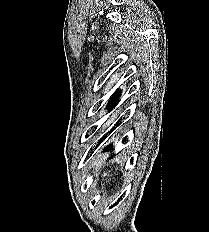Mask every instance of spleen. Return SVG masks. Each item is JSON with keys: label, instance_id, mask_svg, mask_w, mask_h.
<instances>
[{"label": "spleen", "instance_id": "spleen-1", "mask_svg": "<svg viewBox=\"0 0 209 232\" xmlns=\"http://www.w3.org/2000/svg\"><path fill=\"white\" fill-rule=\"evenodd\" d=\"M122 157H116V159H115V161L117 162V163H121L122 164Z\"/></svg>", "mask_w": 209, "mask_h": 232}]
</instances>
